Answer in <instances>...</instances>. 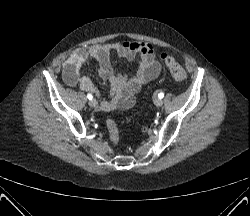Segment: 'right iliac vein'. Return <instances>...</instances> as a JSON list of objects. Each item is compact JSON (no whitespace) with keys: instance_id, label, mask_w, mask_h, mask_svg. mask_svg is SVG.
Instances as JSON below:
<instances>
[{"instance_id":"right-iliac-vein-1","label":"right iliac vein","mask_w":250,"mask_h":216,"mask_svg":"<svg viewBox=\"0 0 250 216\" xmlns=\"http://www.w3.org/2000/svg\"><path fill=\"white\" fill-rule=\"evenodd\" d=\"M89 105H90V107H96L97 101H96L95 99H91V100L89 101Z\"/></svg>"}]
</instances>
